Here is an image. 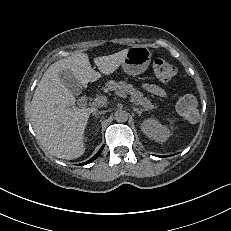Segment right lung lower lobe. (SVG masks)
Here are the masks:
<instances>
[{"label": "right lung lower lobe", "instance_id": "98d812e1", "mask_svg": "<svg viewBox=\"0 0 231 231\" xmlns=\"http://www.w3.org/2000/svg\"><path fill=\"white\" fill-rule=\"evenodd\" d=\"M102 149H103V147L90 160H88L87 162L82 163V165L88 164V163L92 162L93 160H95L100 155Z\"/></svg>", "mask_w": 231, "mask_h": 231}]
</instances>
